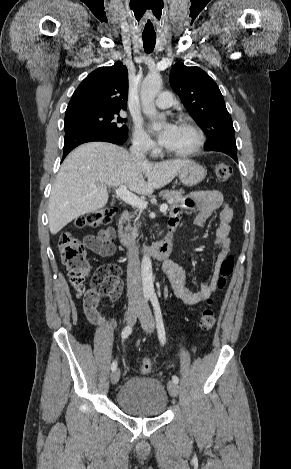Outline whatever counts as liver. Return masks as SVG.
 <instances>
[{
    "label": "liver",
    "instance_id": "6515ba94",
    "mask_svg": "<svg viewBox=\"0 0 291 469\" xmlns=\"http://www.w3.org/2000/svg\"><path fill=\"white\" fill-rule=\"evenodd\" d=\"M190 162H149L106 142L79 146L63 162L52 187L48 205L51 234H57L72 220L103 208L108 201L107 187L125 185L131 192L150 195L154 189L169 184Z\"/></svg>",
    "mask_w": 291,
    "mask_h": 469
}]
</instances>
